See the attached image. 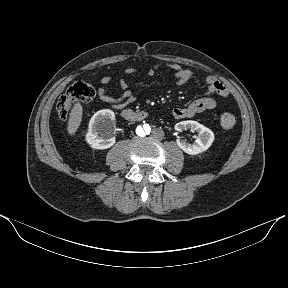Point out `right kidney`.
<instances>
[{
  "label": "right kidney",
  "instance_id": "ca27d5eb",
  "mask_svg": "<svg viewBox=\"0 0 288 288\" xmlns=\"http://www.w3.org/2000/svg\"><path fill=\"white\" fill-rule=\"evenodd\" d=\"M115 120L114 112L111 110H100L96 112L89 122L86 141L94 149L104 150L112 147L115 143L112 128L107 130Z\"/></svg>",
  "mask_w": 288,
  "mask_h": 288
}]
</instances>
